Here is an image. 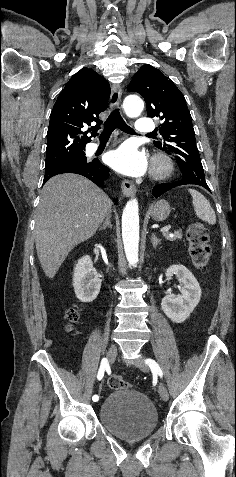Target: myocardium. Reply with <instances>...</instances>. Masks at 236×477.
Instances as JSON below:
<instances>
[{"label": "myocardium", "mask_w": 236, "mask_h": 477, "mask_svg": "<svg viewBox=\"0 0 236 477\" xmlns=\"http://www.w3.org/2000/svg\"><path fill=\"white\" fill-rule=\"evenodd\" d=\"M173 161L165 153H157L152 158L151 176L155 179H162L171 174Z\"/></svg>", "instance_id": "f54148a6"}]
</instances>
